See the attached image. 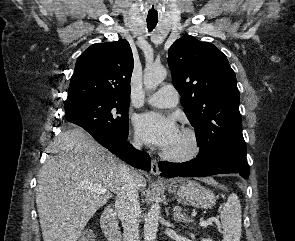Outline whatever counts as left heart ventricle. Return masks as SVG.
I'll list each match as a JSON object with an SVG mask.
<instances>
[{
    "label": "left heart ventricle",
    "instance_id": "b2bd125f",
    "mask_svg": "<svg viewBox=\"0 0 295 241\" xmlns=\"http://www.w3.org/2000/svg\"><path fill=\"white\" fill-rule=\"evenodd\" d=\"M189 147V141L188 139L183 136L180 132L174 143L166 149V151L173 152V153H180L184 152Z\"/></svg>",
    "mask_w": 295,
    "mask_h": 241
}]
</instances>
